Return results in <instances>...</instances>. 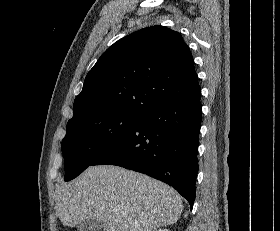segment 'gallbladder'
<instances>
[{"instance_id": "obj_1", "label": "gallbladder", "mask_w": 280, "mask_h": 231, "mask_svg": "<svg viewBox=\"0 0 280 231\" xmlns=\"http://www.w3.org/2000/svg\"><path fill=\"white\" fill-rule=\"evenodd\" d=\"M77 227L79 231H100L103 225L100 219H93V217H88V219H84V221H80Z\"/></svg>"}]
</instances>
